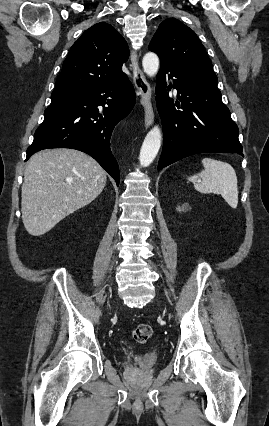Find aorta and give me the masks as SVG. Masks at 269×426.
Instances as JSON below:
<instances>
[{
  "label": "aorta",
  "mask_w": 269,
  "mask_h": 426,
  "mask_svg": "<svg viewBox=\"0 0 269 426\" xmlns=\"http://www.w3.org/2000/svg\"><path fill=\"white\" fill-rule=\"evenodd\" d=\"M144 72L153 77L157 74L159 68V58L157 54L148 52L144 55L142 60ZM161 131L158 126H154L146 135L141 150H140V164L142 167L149 166L155 159L160 146H161Z\"/></svg>",
  "instance_id": "762f6f07"
}]
</instances>
